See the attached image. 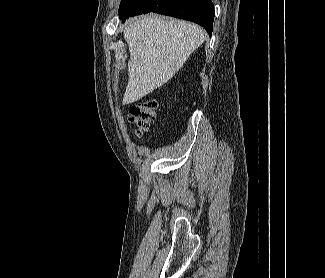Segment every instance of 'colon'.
<instances>
[{
    "instance_id": "colon-1",
    "label": "colon",
    "mask_w": 325,
    "mask_h": 278,
    "mask_svg": "<svg viewBox=\"0 0 325 278\" xmlns=\"http://www.w3.org/2000/svg\"><path fill=\"white\" fill-rule=\"evenodd\" d=\"M156 108L157 102L155 100H147L130 108L128 121L136 127L138 136H141L142 132L148 129L154 121Z\"/></svg>"
}]
</instances>
